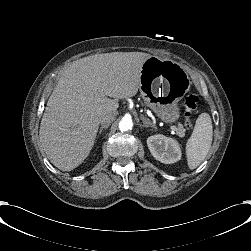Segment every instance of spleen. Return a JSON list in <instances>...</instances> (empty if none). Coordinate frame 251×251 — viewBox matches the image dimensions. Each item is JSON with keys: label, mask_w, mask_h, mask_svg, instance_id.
<instances>
[{"label": "spleen", "mask_w": 251, "mask_h": 251, "mask_svg": "<svg viewBox=\"0 0 251 251\" xmlns=\"http://www.w3.org/2000/svg\"><path fill=\"white\" fill-rule=\"evenodd\" d=\"M212 132L210 115L206 112L201 113L196 120L193 133L186 145L190 169H195L199 166L208 154L212 143Z\"/></svg>", "instance_id": "3e777b00"}]
</instances>
